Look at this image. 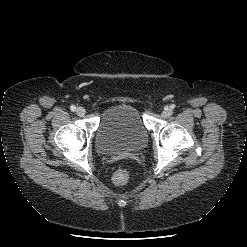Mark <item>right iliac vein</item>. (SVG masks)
<instances>
[{
	"mask_svg": "<svg viewBox=\"0 0 247 247\" xmlns=\"http://www.w3.org/2000/svg\"><path fill=\"white\" fill-rule=\"evenodd\" d=\"M76 113H77V115H79V116H84V115H85V109H84L83 107H78V108L76 109Z\"/></svg>",
	"mask_w": 247,
	"mask_h": 247,
	"instance_id": "1",
	"label": "right iliac vein"
}]
</instances>
